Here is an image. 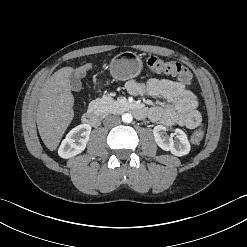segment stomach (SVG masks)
Listing matches in <instances>:
<instances>
[{"mask_svg":"<svg viewBox=\"0 0 247 247\" xmlns=\"http://www.w3.org/2000/svg\"><path fill=\"white\" fill-rule=\"evenodd\" d=\"M142 69V61L131 51L120 53L110 63L112 77L119 81H126L137 77Z\"/></svg>","mask_w":247,"mask_h":247,"instance_id":"stomach-1","label":"stomach"}]
</instances>
